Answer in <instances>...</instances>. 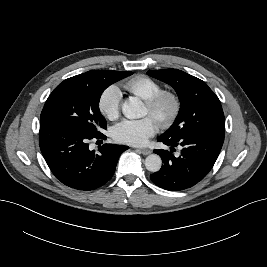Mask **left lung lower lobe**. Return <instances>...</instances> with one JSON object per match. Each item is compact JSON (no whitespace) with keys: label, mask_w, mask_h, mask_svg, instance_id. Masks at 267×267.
<instances>
[{"label":"left lung lower lobe","mask_w":267,"mask_h":267,"mask_svg":"<svg viewBox=\"0 0 267 267\" xmlns=\"http://www.w3.org/2000/svg\"><path fill=\"white\" fill-rule=\"evenodd\" d=\"M157 140L171 146V150L181 145L182 150L179 157L167 150H154L164 164L150 178L163 189L180 191L194 186L210 172L222 148L224 134L199 133L179 140L160 136Z\"/></svg>","instance_id":"obj_1"}]
</instances>
